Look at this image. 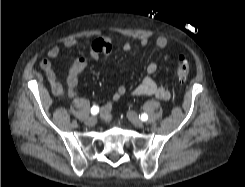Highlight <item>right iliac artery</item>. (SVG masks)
<instances>
[{"mask_svg":"<svg viewBox=\"0 0 245 187\" xmlns=\"http://www.w3.org/2000/svg\"><path fill=\"white\" fill-rule=\"evenodd\" d=\"M98 112H99V107H98V106H93V107L91 108V113H92L93 115L97 114Z\"/></svg>","mask_w":245,"mask_h":187,"instance_id":"82829eb1","label":"right iliac artery"}]
</instances>
